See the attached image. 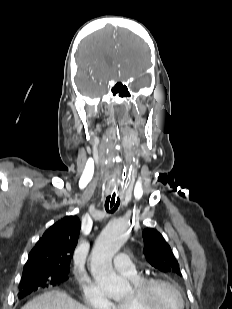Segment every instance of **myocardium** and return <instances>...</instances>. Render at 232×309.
I'll list each match as a JSON object with an SVG mask.
<instances>
[{"label": "myocardium", "mask_w": 232, "mask_h": 309, "mask_svg": "<svg viewBox=\"0 0 232 309\" xmlns=\"http://www.w3.org/2000/svg\"><path fill=\"white\" fill-rule=\"evenodd\" d=\"M159 285H165L173 289L181 300L180 309H185L186 299L181 289L172 281L161 277L142 278V280L134 286L129 300L137 309H157L154 305L153 292Z\"/></svg>", "instance_id": "obj_1"}]
</instances>
